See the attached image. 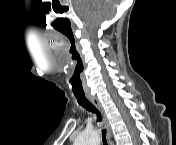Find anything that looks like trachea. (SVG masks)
<instances>
[{"label":"trachea","mask_w":176,"mask_h":145,"mask_svg":"<svg viewBox=\"0 0 176 145\" xmlns=\"http://www.w3.org/2000/svg\"><path fill=\"white\" fill-rule=\"evenodd\" d=\"M79 105L86 108L87 110L95 113L97 115V120L101 121L100 112L94 107V105L86 98L85 95H75ZM103 145H108L106 140L105 130L102 131Z\"/></svg>","instance_id":"3493384b"}]
</instances>
